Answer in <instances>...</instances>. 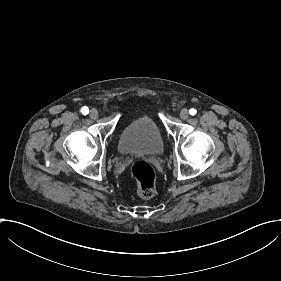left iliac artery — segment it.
Instances as JSON below:
<instances>
[{"instance_id": "1", "label": "left iliac artery", "mask_w": 281, "mask_h": 281, "mask_svg": "<svg viewBox=\"0 0 281 281\" xmlns=\"http://www.w3.org/2000/svg\"><path fill=\"white\" fill-rule=\"evenodd\" d=\"M190 115H195L197 113V110H195L194 108L189 110Z\"/></svg>"}]
</instances>
